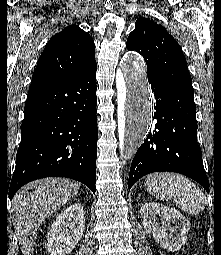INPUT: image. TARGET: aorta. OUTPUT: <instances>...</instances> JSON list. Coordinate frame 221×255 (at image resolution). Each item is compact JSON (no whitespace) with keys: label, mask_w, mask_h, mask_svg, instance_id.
<instances>
[{"label":"aorta","mask_w":221,"mask_h":255,"mask_svg":"<svg viewBox=\"0 0 221 255\" xmlns=\"http://www.w3.org/2000/svg\"><path fill=\"white\" fill-rule=\"evenodd\" d=\"M118 102L122 106L124 125L120 133V149L132 158L146 137L152 119V101L145 63L137 53H128L117 76Z\"/></svg>","instance_id":"762f6f07"}]
</instances>
